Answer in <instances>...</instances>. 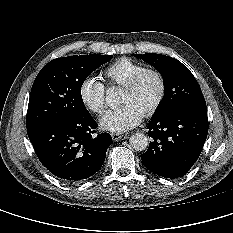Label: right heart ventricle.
I'll return each mask as SVG.
<instances>
[{"label": "right heart ventricle", "mask_w": 233, "mask_h": 233, "mask_svg": "<svg viewBox=\"0 0 233 233\" xmlns=\"http://www.w3.org/2000/svg\"><path fill=\"white\" fill-rule=\"evenodd\" d=\"M146 69V66L129 58H120L104 71V77L110 85L123 87L134 75Z\"/></svg>", "instance_id": "1"}]
</instances>
